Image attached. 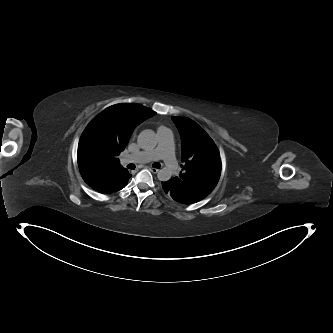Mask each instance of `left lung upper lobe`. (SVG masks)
<instances>
[{
    "label": "left lung upper lobe",
    "mask_w": 333,
    "mask_h": 333,
    "mask_svg": "<svg viewBox=\"0 0 333 333\" xmlns=\"http://www.w3.org/2000/svg\"><path fill=\"white\" fill-rule=\"evenodd\" d=\"M182 142V171L171 180L196 201L208 196L216 186L221 173V160L217 147L208 134L194 121L185 117H172Z\"/></svg>",
    "instance_id": "obj_1"
}]
</instances>
